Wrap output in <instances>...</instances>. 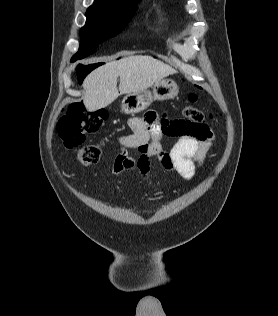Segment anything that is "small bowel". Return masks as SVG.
Listing matches in <instances>:
<instances>
[{
    "instance_id": "obj_1",
    "label": "small bowel",
    "mask_w": 278,
    "mask_h": 316,
    "mask_svg": "<svg viewBox=\"0 0 278 316\" xmlns=\"http://www.w3.org/2000/svg\"><path fill=\"white\" fill-rule=\"evenodd\" d=\"M176 122L162 119L153 111L147 112L143 118L129 119L132 132L119 139L121 148L113 163V174L118 176L126 170L137 169L143 180L150 181L151 161L156 160L166 171L186 180L192 179L197 168L204 164L213 146L214 135L208 126L200 135H172L170 130ZM163 135L180 138L165 150L161 143ZM130 149H135L138 155H130Z\"/></svg>"
}]
</instances>
